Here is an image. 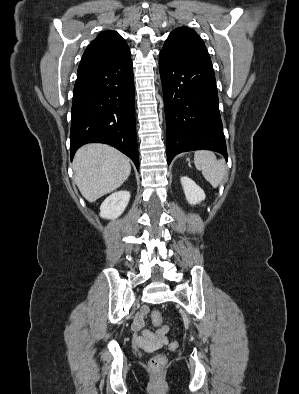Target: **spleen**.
<instances>
[{
    "label": "spleen",
    "mask_w": 299,
    "mask_h": 394,
    "mask_svg": "<svg viewBox=\"0 0 299 394\" xmlns=\"http://www.w3.org/2000/svg\"><path fill=\"white\" fill-rule=\"evenodd\" d=\"M194 163L198 170L202 172L204 178L217 188L226 174V164L224 160H217L211 151L201 150L194 155Z\"/></svg>",
    "instance_id": "obj_1"
}]
</instances>
